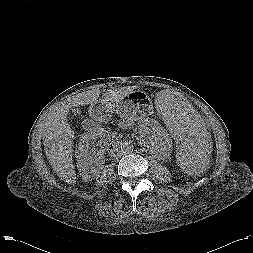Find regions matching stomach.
Segmentation results:
<instances>
[{
	"label": "stomach",
	"mask_w": 253,
	"mask_h": 253,
	"mask_svg": "<svg viewBox=\"0 0 253 253\" xmlns=\"http://www.w3.org/2000/svg\"><path fill=\"white\" fill-rule=\"evenodd\" d=\"M159 94H157L158 96ZM157 98V97H156ZM156 100V99H155ZM102 111L116 112L121 118L128 120H142L153 113L154 104L149 96L140 90H135L117 102H99Z\"/></svg>",
	"instance_id": "0dacf381"
}]
</instances>
